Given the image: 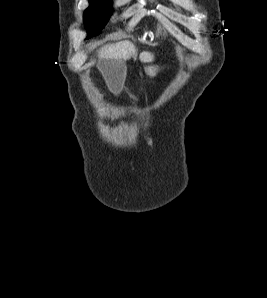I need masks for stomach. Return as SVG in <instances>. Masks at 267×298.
<instances>
[{
  "instance_id": "1",
  "label": "stomach",
  "mask_w": 267,
  "mask_h": 298,
  "mask_svg": "<svg viewBox=\"0 0 267 298\" xmlns=\"http://www.w3.org/2000/svg\"><path fill=\"white\" fill-rule=\"evenodd\" d=\"M158 67H155V66H148V67H145V72L147 75H149L150 77H153L157 74L158 72Z\"/></svg>"
}]
</instances>
